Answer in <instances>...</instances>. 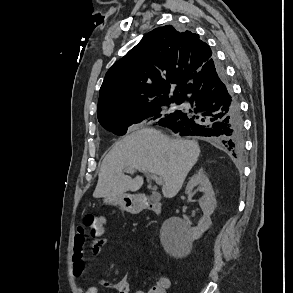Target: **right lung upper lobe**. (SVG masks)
<instances>
[{"instance_id": "cb5924a9", "label": "right lung upper lobe", "mask_w": 293, "mask_h": 293, "mask_svg": "<svg viewBox=\"0 0 293 293\" xmlns=\"http://www.w3.org/2000/svg\"><path fill=\"white\" fill-rule=\"evenodd\" d=\"M210 47L190 31L172 25L147 33L106 73L100 88L98 118L146 109L179 93L211 59Z\"/></svg>"}]
</instances>
